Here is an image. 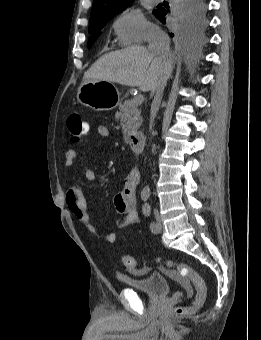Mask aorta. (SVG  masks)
I'll list each match as a JSON object with an SVG mask.
<instances>
[{
  "label": "aorta",
  "mask_w": 261,
  "mask_h": 340,
  "mask_svg": "<svg viewBox=\"0 0 261 340\" xmlns=\"http://www.w3.org/2000/svg\"><path fill=\"white\" fill-rule=\"evenodd\" d=\"M142 193H143V194H149V193H150V188H149V186H145V187L143 188V190H142Z\"/></svg>",
  "instance_id": "1"
}]
</instances>
